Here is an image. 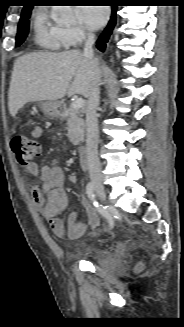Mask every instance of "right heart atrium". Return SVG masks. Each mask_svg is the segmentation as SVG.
I'll use <instances>...</instances> for the list:
<instances>
[{"mask_svg":"<svg viewBox=\"0 0 184 327\" xmlns=\"http://www.w3.org/2000/svg\"><path fill=\"white\" fill-rule=\"evenodd\" d=\"M89 36L90 33L82 26H72L65 30V39L68 47L81 45Z\"/></svg>","mask_w":184,"mask_h":327,"instance_id":"obj_1","label":"right heart atrium"}]
</instances>
